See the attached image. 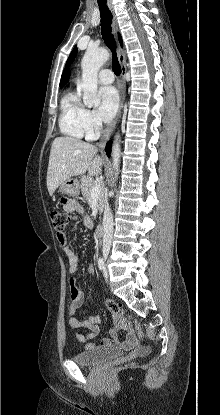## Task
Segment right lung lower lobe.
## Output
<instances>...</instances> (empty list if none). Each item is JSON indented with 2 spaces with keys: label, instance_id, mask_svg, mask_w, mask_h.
<instances>
[{
  "label": "right lung lower lobe",
  "instance_id": "right-lung-lower-lobe-1",
  "mask_svg": "<svg viewBox=\"0 0 220 415\" xmlns=\"http://www.w3.org/2000/svg\"><path fill=\"white\" fill-rule=\"evenodd\" d=\"M111 146H112V141H109L106 145V154L109 157L110 153H111Z\"/></svg>",
  "mask_w": 220,
  "mask_h": 415
}]
</instances>
